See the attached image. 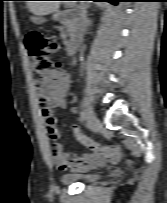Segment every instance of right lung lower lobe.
I'll list each match as a JSON object with an SVG mask.
<instances>
[{
    "mask_svg": "<svg viewBox=\"0 0 167 203\" xmlns=\"http://www.w3.org/2000/svg\"><path fill=\"white\" fill-rule=\"evenodd\" d=\"M93 1H107V2H110V3L116 4L119 1H126V0H93Z\"/></svg>",
    "mask_w": 167,
    "mask_h": 203,
    "instance_id": "1",
    "label": "right lung lower lobe"
}]
</instances>
